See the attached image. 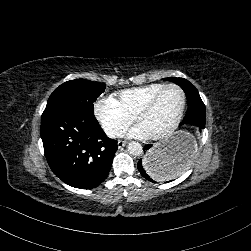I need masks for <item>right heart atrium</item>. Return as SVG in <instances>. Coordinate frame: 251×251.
<instances>
[{"label": "right heart atrium", "instance_id": "right-heart-atrium-1", "mask_svg": "<svg viewBox=\"0 0 251 251\" xmlns=\"http://www.w3.org/2000/svg\"><path fill=\"white\" fill-rule=\"evenodd\" d=\"M93 111L105 132L112 138L119 137L135 119L134 114L129 112L114 94L97 98Z\"/></svg>", "mask_w": 251, "mask_h": 251}]
</instances>
